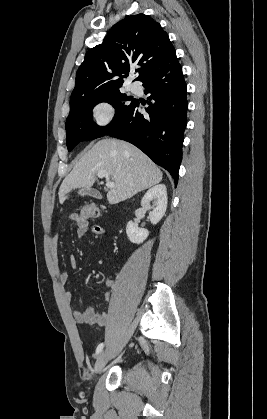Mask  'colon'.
Returning <instances> with one entry per match:
<instances>
[{
    "label": "colon",
    "instance_id": "colon-1",
    "mask_svg": "<svg viewBox=\"0 0 267 419\" xmlns=\"http://www.w3.org/2000/svg\"><path fill=\"white\" fill-rule=\"evenodd\" d=\"M98 214V208L92 204L84 206L78 212V216L81 221H88L89 219L96 217Z\"/></svg>",
    "mask_w": 267,
    "mask_h": 419
}]
</instances>
